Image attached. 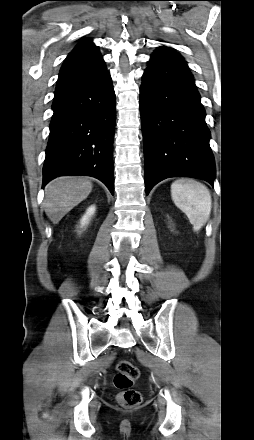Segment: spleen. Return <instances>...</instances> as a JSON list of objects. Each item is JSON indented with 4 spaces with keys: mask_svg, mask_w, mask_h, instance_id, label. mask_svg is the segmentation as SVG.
I'll list each match as a JSON object with an SVG mask.
<instances>
[{
    "mask_svg": "<svg viewBox=\"0 0 254 440\" xmlns=\"http://www.w3.org/2000/svg\"><path fill=\"white\" fill-rule=\"evenodd\" d=\"M171 196L174 204L187 215L194 231H199L212 209L208 188L194 179H178L171 184Z\"/></svg>",
    "mask_w": 254,
    "mask_h": 440,
    "instance_id": "1",
    "label": "spleen"
}]
</instances>
